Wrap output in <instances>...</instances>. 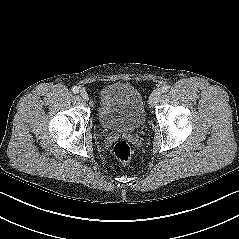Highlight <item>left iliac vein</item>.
<instances>
[{
	"mask_svg": "<svg viewBox=\"0 0 239 239\" xmlns=\"http://www.w3.org/2000/svg\"><path fill=\"white\" fill-rule=\"evenodd\" d=\"M161 95H162V92L160 89L154 90L149 98L150 106H152V107L155 106L156 103L158 102V100L160 99Z\"/></svg>",
	"mask_w": 239,
	"mask_h": 239,
	"instance_id": "4c4485c4",
	"label": "left iliac vein"
}]
</instances>
